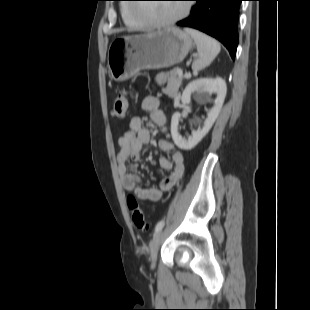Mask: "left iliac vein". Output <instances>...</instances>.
<instances>
[{
    "mask_svg": "<svg viewBox=\"0 0 310 310\" xmlns=\"http://www.w3.org/2000/svg\"><path fill=\"white\" fill-rule=\"evenodd\" d=\"M165 235V231L160 230L157 232L153 238V240L150 243V262H151V268H155L156 262H157V253L159 250V247L163 241Z\"/></svg>",
    "mask_w": 310,
    "mask_h": 310,
    "instance_id": "obj_1",
    "label": "left iliac vein"
}]
</instances>
